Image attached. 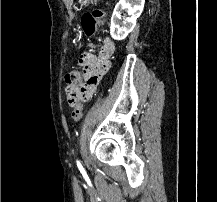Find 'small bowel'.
I'll return each instance as SVG.
<instances>
[{
  "instance_id": "small-bowel-1",
  "label": "small bowel",
  "mask_w": 217,
  "mask_h": 202,
  "mask_svg": "<svg viewBox=\"0 0 217 202\" xmlns=\"http://www.w3.org/2000/svg\"><path fill=\"white\" fill-rule=\"evenodd\" d=\"M115 52V44L109 40H104L97 57L85 56L80 62L87 68L89 82L83 95H92L97 83L102 75L109 70L111 66L110 58Z\"/></svg>"
}]
</instances>
